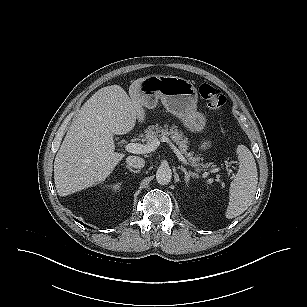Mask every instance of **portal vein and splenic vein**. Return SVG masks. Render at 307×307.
<instances>
[{"mask_svg":"<svg viewBox=\"0 0 307 307\" xmlns=\"http://www.w3.org/2000/svg\"><path fill=\"white\" fill-rule=\"evenodd\" d=\"M161 142H166L170 148L173 150V152L176 154L178 159L185 164L186 166H192L182 155V153L178 150V148L171 142V140L168 137H161L160 139H155L151 143L148 144H139V143H128L125 145V150L130 153L134 154H146L154 152L161 144ZM234 169L235 167L232 166ZM214 171H211V173ZM207 174V173H206Z\"/></svg>","mask_w":307,"mask_h":307,"instance_id":"1","label":"portal vein and splenic vein"}]
</instances>
